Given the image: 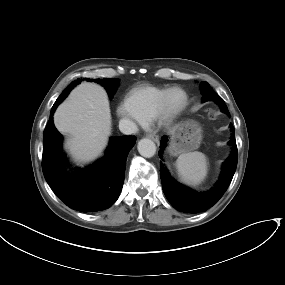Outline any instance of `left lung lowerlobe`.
I'll return each mask as SVG.
<instances>
[{
    "label": "left lung lower lobe",
    "instance_id": "1",
    "mask_svg": "<svg viewBox=\"0 0 285 285\" xmlns=\"http://www.w3.org/2000/svg\"><path fill=\"white\" fill-rule=\"evenodd\" d=\"M229 115V113H228ZM232 146L231 155L223 163L219 181L214 188L207 192H196L190 188L177 183L169 174L167 168L160 162V177L164 194L171 205L180 212L197 213L206 211L213 206L227 190L237 166V146L234 137V127L230 124ZM168 137L163 136L160 142L159 156L162 157L163 150L167 146ZM162 159V158H161Z\"/></svg>",
    "mask_w": 285,
    "mask_h": 285
}]
</instances>
